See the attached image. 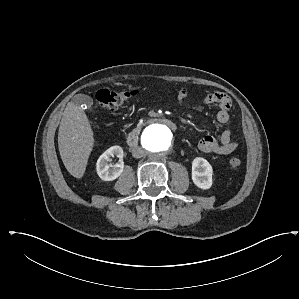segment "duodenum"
<instances>
[{
  "label": "duodenum",
  "mask_w": 299,
  "mask_h": 299,
  "mask_svg": "<svg viewBox=\"0 0 299 299\" xmlns=\"http://www.w3.org/2000/svg\"><path fill=\"white\" fill-rule=\"evenodd\" d=\"M150 121H161L163 122L165 125H167L170 129L172 130H176L177 129V126L176 124L170 120V119H167V118H160V117H152V118H149L145 121H143L142 123H139L131 132L130 134L128 135L127 137V140H126V143L129 147H133L137 144L138 142V138H139V134H140V131L142 129V127L144 126V124L146 122H150Z\"/></svg>",
  "instance_id": "obj_1"
}]
</instances>
